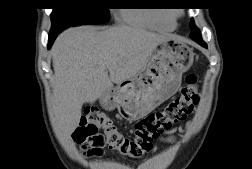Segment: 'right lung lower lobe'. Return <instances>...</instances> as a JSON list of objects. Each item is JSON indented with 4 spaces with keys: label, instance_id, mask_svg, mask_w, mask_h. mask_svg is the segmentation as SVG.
<instances>
[{
    "label": "right lung lower lobe",
    "instance_id": "1",
    "mask_svg": "<svg viewBox=\"0 0 252 169\" xmlns=\"http://www.w3.org/2000/svg\"><path fill=\"white\" fill-rule=\"evenodd\" d=\"M61 31H51L49 34V45H48V49L52 46L54 40L56 39V37L58 36V34Z\"/></svg>",
    "mask_w": 252,
    "mask_h": 169
}]
</instances>
